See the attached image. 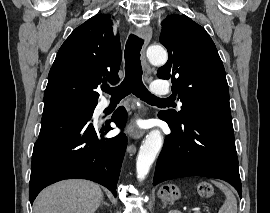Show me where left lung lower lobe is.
<instances>
[{"instance_id":"left-lung-lower-lobe-1","label":"left lung lower lobe","mask_w":270,"mask_h":213,"mask_svg":"<svg viewBox=\"0 0 270 213\" xmlns=\"http://www.w3.org/2000/svg\"><path fill=\"white\" fill-rule=\"evenodd\" d=\"M171 134L158 157L153 185L187 176L222 179L242 193L232 119L193 116L176 123L163 114Z\"/></svg>"}]
</instances>
